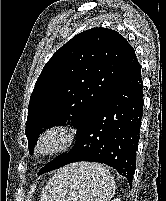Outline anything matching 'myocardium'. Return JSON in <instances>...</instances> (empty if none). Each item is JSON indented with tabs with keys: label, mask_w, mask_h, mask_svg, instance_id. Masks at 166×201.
<instances>
[{
	"label": "myocardium",
	"mask_w": 166,
	"mask_h": 201,
	"mask_svg": "<svg viewBox=\"0 0 166 201\" xmlns=\"http://www.w3.org/2000/svg\"><path fill=\"white\" fill-rule=\"evenodd\" d=\"M74 139L75 132L72 127L64 124L51 125L39 135L35 154L41 158L57 156L66 152Z\"/></svg>",
	"instance_id": "1"
}]
</instances>
